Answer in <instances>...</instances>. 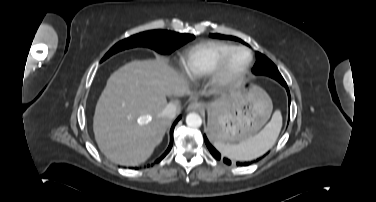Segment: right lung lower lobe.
Instances as JSON below:
<instances>
[{
  "label": "right lung lower lobe",
  "instance_id": "right-lung-lower-lobe-1",
  "mask_svg": "<svg viewBox=\"0 0 376 202\" xmlns=\"http://www.w3.org/2000/svg\"><path fill=\"white\" fill-rule=\"evenodd\" d=\"M180 118H181V116H179L176 119V121L173 123V125H172L171 131H170V144H169V147L167 148L166 152L159 159L156 160V162H160L169 153V151L171 150L172 144H173V131H174V127H175L176 123L180 120Z\"/></svg>",
  "mask_w": 376,
  "mask_h": 202
}]
</instances>
